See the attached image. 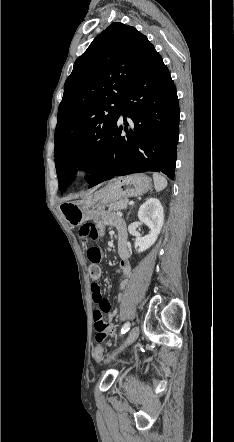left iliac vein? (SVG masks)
Masks as SVG:
<instances>
[{
  "label": "left iliac vein",
  "instance_id": "4c4485c4",
  "mask_svg": "<svg viewBox=\"0 0 234 442\" xmlns=\"http://www.w3.org/2000/svg\"><path fill=\"white\" fill-rule=\"evenodd\" d=\"M139 332H140V330H139L138 326L133 327L131 329V331L129 332V334H128L126 340L124 341V343L120 346V348L115 353H113L109 357V359H112L118 352L122 351L124 348H126L130 344L134 343L137 340L138 336H139Z\"/></svg>",
  "mask_w": 234,
  "mask_h": 442
}]
</instances>
